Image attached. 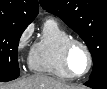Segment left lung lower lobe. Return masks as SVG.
I'll use <instances>...</instances> for the list:
<instances>
[{
	"label": "left lung lower lobe",
	"mask_w": 107,
	"mask_h": 89,
	"mask_svg": "<svg viewBox=\"0 0 107 89\" xmlns=\"http://www.w3.org/2000/svg\"><path fill=\"white\" fill-rule=\"evenodd\" d=\"M85 85L93 89H107V69L101 71L98 76L88 80Z\"/></svg>",
	"instance_id": "1"
}]
</instances>
